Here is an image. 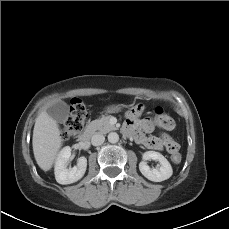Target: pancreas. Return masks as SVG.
Masks as SVG:
<instances>
[{
  "label": "pancreas",
  "instance_id": "cf45deb5",
  "mask_svg": "<svg viewBox=\"0 0 229 229\" xmlns=\"http://www.w3.org/2000/svg\"><path fill=\"white\" fill-rule=\"evenodd\" d=\"M111 116H102L101 118L90 122L87 126V130L90 132H100V133H108L109 131L115 130L116 127L110 124Z\"/></svg>",
  "mask_w": 229,
  "mask_h": 229
}]
</instances>
